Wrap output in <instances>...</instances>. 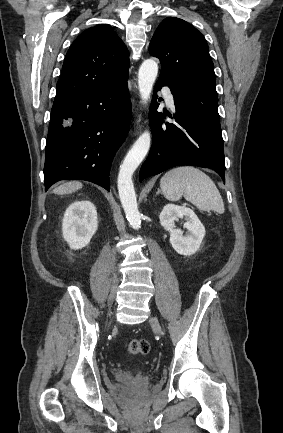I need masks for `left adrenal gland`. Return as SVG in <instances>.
<instances>
[{
	"instance_id": "1",
	"label": "left adrenal gland",
	"mask_w": 283,
	"mask_h": 433,
	"mask_svg": "<svg viewBox=\"0 0 283 433\" xmlns=\"http://www.w3.org/2000/svg\"><path fill=\"white\" fill-rule=\"evenodd\" d=\"M159 192H161L160 188H158V190H157L156 194H159Z\"/></svg>"
}]
</instances>
